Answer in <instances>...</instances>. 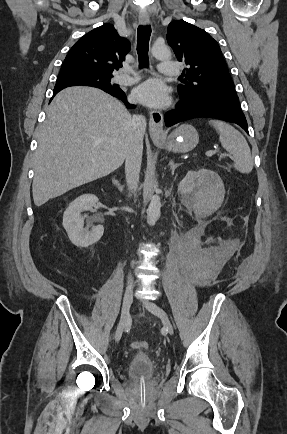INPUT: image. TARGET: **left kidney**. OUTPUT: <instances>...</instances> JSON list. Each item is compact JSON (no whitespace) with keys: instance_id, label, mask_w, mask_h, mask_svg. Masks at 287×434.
<instances>
[{"instance_id":"obj_1","label":"left kidney","mask_w":287,"mask_h":434,"mask_svg":"<svg viewBox=\"0 0 287 434\" xmlns=\"http://www.w3.org/2000/svg\"><path fill=\"white\" fill-rule=\"evenodd\" d=\"M178 190L187 204L200 210H216L225 196L220 176L208 169L189 171L180 182Z\"/></svg>"}]
</instances>
